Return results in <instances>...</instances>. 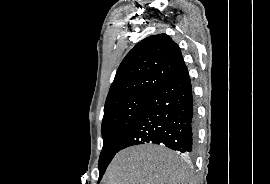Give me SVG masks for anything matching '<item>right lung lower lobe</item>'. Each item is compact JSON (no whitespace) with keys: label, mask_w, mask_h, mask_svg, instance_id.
Segmentation results:
<instances>
[{"label":"right lung lower lobe","mask_w":270,"mask_h":184,"mask_svg":"<svg viewBox=\"0 0 270 184\" xmlns=\"http://www.w3.org/2000/svg\"><path fill=\"white\" fill-rule=\"evenodd\" d=\"M155 143L192 153L196 143V111L191 80L184 66L146 100L119 146Z\"/></svg>","instance_id":"1"}]
</instances>
